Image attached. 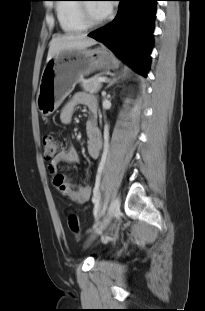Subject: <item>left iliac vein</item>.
Returning <instances> with one entry per match:
<instances>
[{"label":"left iliac vein","mask_w":205,"mask_h":311,"mask_svg":"<svg viewBox=\"0 0 205 311\" xmlns=\"http://www.w3.org/2000/svg\"><path fill=\"white\" fill-rule=\"evenodd\" d=\"M120 204H121L120 197L116 195L112 199L108 207L107 214L103 222L99 225V227L95 231V234H99L100 232H102L105 229V227L110 223V221L120 212Z\"/></svg>","instance_id":"left-iliac-vein-1"}]
</instances>
